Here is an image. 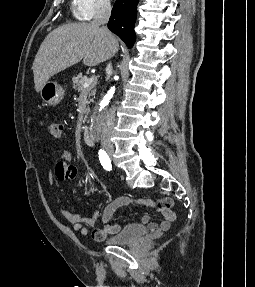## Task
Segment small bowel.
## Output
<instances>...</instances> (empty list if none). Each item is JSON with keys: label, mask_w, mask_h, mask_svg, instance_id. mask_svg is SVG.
<instances>
[{"label": "small bowel", "mask_w": 255, "mask_h": 287, "mask_svg": "<svg viewBox=\"0 0 255 287\" xmlns=\"http://www.w3.org/2000/svg\"><path fill=\"white\" fill-rule=\"evenodd\" d=\"M70 159L71 153L69 151L64 150L61 152V160L56 164L54 172L48 177V181L51 185L56 179L59 181H67L72 180L77 176L76 167L68 163ZM131 203L151 206L162 215L163 218L159 223L150 222V217L148 215H143L141 217V223L148 224V229L153 234L161 235L168 231L171 224L176 219V215L172 211L173 200L169 197H164L156 201L151 199L120 197L107 204L102 210L100 208L96 209L91 216H84L66 209H61L60 212L62 216L70 222L74 232L81 235L88 234L86 225L93 227L98 220L101 219L102 226L94 228L92 231V237L95 240L101 241L107 235L114 234L120 229L119 225L112 223V217L115 211L118 208Z\"/></svg>", "instance_id": "obj_1"}]
</instances>
